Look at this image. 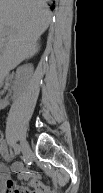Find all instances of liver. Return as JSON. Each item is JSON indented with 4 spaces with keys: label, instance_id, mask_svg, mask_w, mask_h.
Returning a JSON list of instances; mask_svg holds the SVG:
<instances>
[{
    "label": "liver",
    "instance_id": "liver-1",
    "mask_svg": "<svg viewBox=\"0 0 103 193\" xmlns=\"http://www.w3.org/2000/svg\"><path fill=\"white\" fill-rule=\"evenodd\" d=\"M46 0H0V70L3 79L39 51L37 41L51 22Z\"/></svg>",
    "mask_w": 103,
    "mask_h": 193
}]
</instances>
